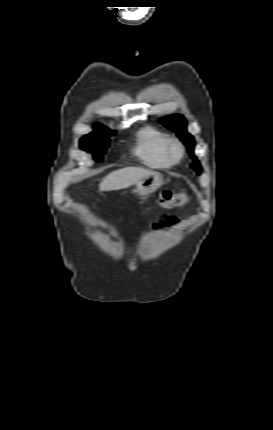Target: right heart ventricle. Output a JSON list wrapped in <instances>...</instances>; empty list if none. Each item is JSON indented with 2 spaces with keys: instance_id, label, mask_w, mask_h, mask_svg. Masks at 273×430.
Returning <instances> with one entry per match:
<instances>
[{
  "instance_id": "obj_1",
  "label": "right heart ventricle",
  "mask_w": 273,
  "mask_h": 430,
  "mask_svg": "<svg viewBox=\"0 0 273 430\" xmlns=\"http://www.w3.org/2000/svg\"><path fill=\"white\" fill-rule=\"evenodd\" d=\"M134 149L142 163L153 169H167L173 163L166 154V147L171 137L153 127H145L137 133Z\"/></svg>"
}]
</instances>
